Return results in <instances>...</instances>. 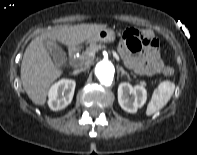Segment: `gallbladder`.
Segmentation results:
<instances>
[{
    "instance_id": "gallbladder-1",
    "label": "gallbladder",
    "mask_w": 197,
    "mask_h": 155,
    "mask_svg": "<svg viewBox=\"0 0 197 155\" xmlns=\"http://www.w3.org/2000/svg\"><path fill=\"white\" fill-rule=\"evenodd\" d=\"M47 51L53 57L56 65L61 66L66 61V53L62 50V48L55 42L47 40L44 42Z\"/></svg>"
}]
</instances>
